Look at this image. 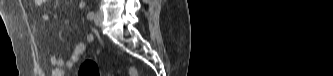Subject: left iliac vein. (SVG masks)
I'll use <instances>...</instances> for the list:
<instances>
[{
	"label": "left iliac vein",
	"instance_id": "1",
	"mask_svg": "<svg viewBox=\"0 0 333 76\" xmlns=\"http://www.w3.org/2000/svg\"><path fill=\"white\" fill-rule=\"evenodd\" d=\"M94 22L97 26H101L103 22V14L101 11H97L95 14Z\"/></svg>",
	"mask_w": 333,
	"mask_h": 76
}]
</instances>
